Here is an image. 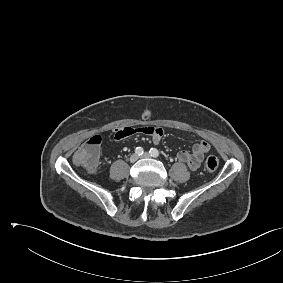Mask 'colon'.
<instances>
[{
    "label": "colon",
    "mask_w": 283,
    "mask_h": 283,
    "mask_svg": "<svg viewBox=\"0 0 283 283\" xmlns=\"http://www.w3.org/2000/svg\"><path fill=\"white\" fill-rule=\"evenodd\" d=\"M101 138L98 135L92 136L75 153L74 162L89 171L97 167L99 147ZM219 166V159L210 155L205 160V168L208 171H215Z\"/></svg>",
    "instance_id": "colon-1"
}]
</instances>
